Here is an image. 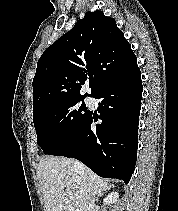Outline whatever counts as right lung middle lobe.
I'll use <instances>...</instances> for the list:
<instances>
[{"label":"right lung middle lobe","mask_w":178,"mask_h":211,"mask_svg":"<svg viewBox=\"0 0 178 211\" xmlns=\"http://www.w3.org/2000/svg\"><path fill=\"white\" fill-rule=\"evenodd\" d=\"M84 98L51 104L33 115L37 144L45 154L71 138L85 123L90 111Z\"/></svg>","instance_id":"right-lung-middle-lobe-1"}]
</instances>
